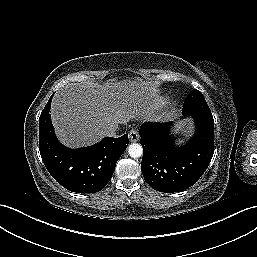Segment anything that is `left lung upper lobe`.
I'll use <instances>...</instances> for the list:
<instances>
[{
	"label": "left lung upper lobe",
	"instance_id": "obj_1",
	"mask_svg": "<svg viewBox=\"0 0 257 257\" xmlns=\"http://www.w3.org/2000/svg\"><path fill=\"white\" fill-rule=\"evenodd\" d=\"M195 111L211 112L203 94L194 89L188 95L182 112L190 113Z\"/></svg>",
	"mask_w": 257,
	"mask_h": 257
}]
</instances>
